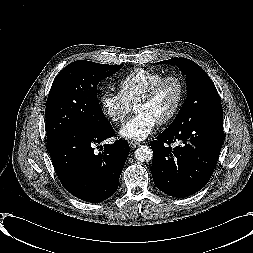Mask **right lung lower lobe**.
<instances>
[{
    "instance_id": "1",
    "label": "right lung lower lobe",
    "mask_w": 253,
    "mask_h": 253,
    "mask_svg": "<svg viewBox=\"0 0 253 253\" xmlns=\"http://www.w3.org/2000/svg\"><path fill=\"white\" fill-rule=\"evenodd\" d=\"M110 123L102 127L76 128L48 147L50 156L64 188L87 202H101L118 189L119 177L129 153L126 140L114 144L94 145L114 136Z\"/></svg>"
}]
</instances>
